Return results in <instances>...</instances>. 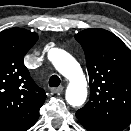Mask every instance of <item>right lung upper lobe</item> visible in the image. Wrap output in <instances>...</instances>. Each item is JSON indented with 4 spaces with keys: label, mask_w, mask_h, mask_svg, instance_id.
<instances>
[{
    "label": "right lung upper lobe",
    "mask_w": 131,
    "mask_h": 131,
    "mask_svg": "<svg viewBox=\"0 0 131 131\" xmlns=\"http://www.w3.org/2000/svg\"><path fill=\"white\" fill-rule=\"evenodd\" d=\"M37 40L36 33L22 28L0 32V131H26L39 117L46 94L23 61Z\"/></svg>",
    "instance_id": "right-lung-upper-lobe-1"
}]
</instances>
